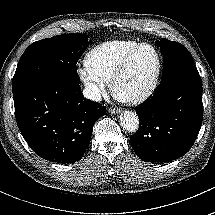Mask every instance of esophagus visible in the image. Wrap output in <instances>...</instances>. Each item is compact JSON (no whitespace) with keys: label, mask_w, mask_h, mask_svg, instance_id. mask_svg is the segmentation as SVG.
<instances>
[{"label":"esophagus","mask_w":215,"mask_h":215,"mask_svg":"<svg viewBox=\"0 0 215 215\" xmlns=\"http://www.w3.org/2000/svg\"><path fill=\"white\" fill-rule=\"evenodd\" d=\"M110 112L118 114L121 112V110L119 108H116V109H111Z\"/></svg>","instance_id":"obj_1"}]
</instances>
